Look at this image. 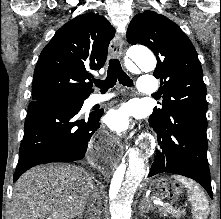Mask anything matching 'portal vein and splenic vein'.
Masks as SVG:
<instances>
[{
    "label": "portal vein and splenic vein",
    "mask_w": 221,
    "mask_h": 219,
    "mask_svg": "<svg viewBox=\"0 0 221 219\" xmlns=\"http://www.w3.org/2000/svg\"><path fill=\"white\" fill-rule=\"evenodd\" d=\"M157 204L160 205V206H168L169 205L167 203H162V202H157Z\"/></svg>",
    "instance_id": "obj_1"
}]
</instances>
